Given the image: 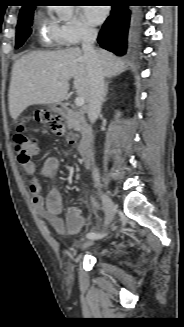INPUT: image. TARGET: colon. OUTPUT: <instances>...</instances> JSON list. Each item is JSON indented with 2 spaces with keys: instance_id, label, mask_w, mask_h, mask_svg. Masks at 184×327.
<instances>
[{
  "instance_id": "1",
  "label": "colon",
  "mask_w": 184,
  "mask_h": 327,
  "mask_svg": "<svg viewBox=\"0 0 184 327\" xmlns=\"http://www.w3.org/2000/svg\"><path fill=\"white\" fill-rule=\"evenodd\" d=\"M34 119L37 122L48 124L53 134L60 137H68L71 142H73L62 116L50 114L47 111L41 110L36 112ZM12 144L17 158L22 165L29 163L32 157L37 155L39 152V144L37 140L26 135L22 125L19 126L14 134Z\"/></svg>"
}]
</instances>
